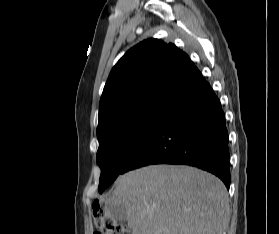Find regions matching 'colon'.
<instances>
[{
  "mask_svg": "<svg viewBox=\"0 0 279 234\" xmlns=\"http://www.w3.org/2000/svg\"><path fill=\"white\" fill-rule=\"evenodd\" d=\"M93 223V234H130L123 224L112 218L101 206L94 207Z\"/></svg>",
  "mask_w": 279,
  "mask_h": 234,
  "instance_id": "colon-1",
  "label": "colon"
}]
</instances>
